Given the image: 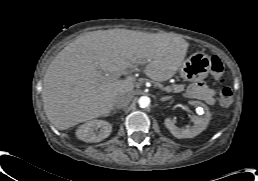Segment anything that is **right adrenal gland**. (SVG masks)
I'll use <instances>...</instances> for the list:
<instances>
[{"mask_svg": "<svg viewBox=\"0 0 258 181\" xmlns=\"http://www.w3.org/2000/svg\"><path fill=\"white\" fill-rule=\"evenodd\" d=\"M116 113H117V109H116V108H113L109 115H114V114H116Z\"/></svg>", "mask_w": 258, "mask_h": 181, "instance_id": "obj_1", "label": "right adrenal gland"}]
</instances>
